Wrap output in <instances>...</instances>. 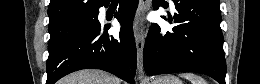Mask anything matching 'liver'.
Returning <instances> with one entry per match:
<instances>
[{
  "mask_svg": "<svg viewBox=\"0 0 260 84\" xmlns=\"http://www.w3.org/2000/svg\"><path fill=\"white\" fill-rule=\"evenodd\" d=\"M59 84H120V80L100 70L85 69L64 77Z\"/></svg>",
  "mask_w": 260,
  "mask_h": 84,
  "instance_id": "1",
  "label": "liver"
}]
</instances>
